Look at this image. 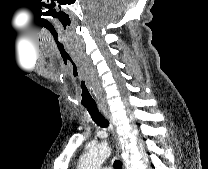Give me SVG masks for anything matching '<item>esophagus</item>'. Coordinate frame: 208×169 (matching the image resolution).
<instances>
[{
	"instance_id": "34e87169",
	"label": "esophagus",
	"mask_w": 208,
	"mask_h": 169,
	"mask_svg": "<svg viewBox=\"0 0 208 169\" xmlns=\"http://www.w3.org/2000/svg\"><path fill=\"white\" fill-rule=\"evenodd\" d=\"M99 110L105 116V118L107 120H109V122L111 124V130H112V134H113L114 142H115V146H116V154H117V157L119 159H121V161L123 163L122 164V169H126L125 162H124V160L122 159V156H121L122 149H121V144H120V141H119V136H118L117 131L115 129L111 113L109 112V110H108V108L106 106H99Z\"/></svg>"
}]
</instances>
